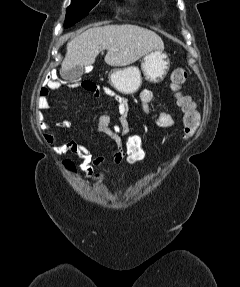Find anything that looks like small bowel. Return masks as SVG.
I'll return each mask as SVG.
<instances>
[{"instance_id":"c3829d8e","label":"small bowel","mask_w":240,"mask_h":287,"mask_svg":"<svg viewBox=\"0 0 240 287\" xmlns=\"http://www.w3.org/2000/svg\"><path fill=\"white\" fill-rule=\"evenodd\" d=\"M61 87V83L55 80L53 77H47L45 85L39 91V97L37 101L38 109L45 111L50 109V96L54 90ZM95 97L107 96L114 100L117 106L118 113V126L111 127L110 115L103 113L99 116L97 122L98 132L107 136H110L115 141V149L112 155L114 165H120L125 161V155L122 147L124 136L129 131V113L130 103L125 97L118 95L113 89L109 87L95 86L90 91ZM153 100V92L148 89H144L140 92V107L144 115L149 117L157 126L161 128H171L176 124V116L164 111L153 112L151 109V102ZM56 126L60 129L68 130L71 127V122L67 119L59 121ZM46 141L48 143L57 142L56 137L53 134L46 135ZM58 150L61 153H72L78 156L80 159L79 167L86 174L91 175L95 167H99L103 164L105 157L102 153H92V151L85 145L70 140L62 143L58 146Z\"/></svg>"}]
</instances>
